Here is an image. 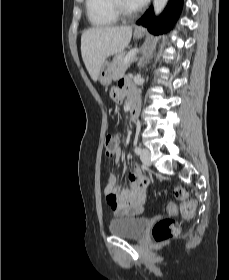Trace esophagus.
I'll return each mask as SVG.
<instances>
[{
  "label": "esophagus",
  "instance_id": "1",
  "mask_svg": "<svg viewBox=\"0 0 229 280\" xmlns=\"http://www.w3.org/2000/svg\"><path fill=\"white\" fill-rule=\"evenodd\" d=\"M135 30H142V28L141 27H139V26H137L136 28H135Z\"/></svg>",
  "mask_w": 229,
  "mask_h": 280
}]
</instances>
